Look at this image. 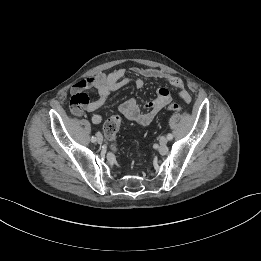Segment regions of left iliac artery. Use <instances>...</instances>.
I'll use <instances>...</instances> for the list:
<instances>
[{"mask_svg": "<svg viewBox=\"0 0 261 261\" xmlns=\"http://www.w3.org/2000/svg\"><path fill=\"white\" fill-rule=\"evenodd\" d=\"M167 139H168V140H172V139H173V135H172L171 133H169V134L167 135Z\"/></svg>", "mask_w": 261, "mask_h": 261, "instance_id": "left-iliac-artery-1", "label": "left iliac artery"}]
</instances>
